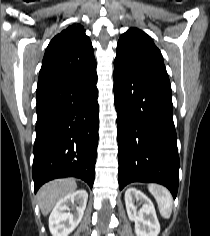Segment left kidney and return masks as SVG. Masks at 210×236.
<instances>
[{
    "label": "left kidney",
    "mask_w": 210,
    "mask_h": 236,
    "mask_svg": "<svg viewBox=\"0 0 210 236\" xmlns=\"http://www.w3.org/2000/svg\"><path fill=\"white\" fill-rule=\"evenodd\" d=\"M135 201H139L142 207L137 210ZM125 205L130 220L135 222L137 236H158L160 224L151 200L136 188L130 187L125 192Z\"/></svg>",
    "instance_id": "obj_1"
}]
</instances>
